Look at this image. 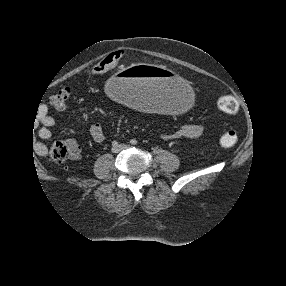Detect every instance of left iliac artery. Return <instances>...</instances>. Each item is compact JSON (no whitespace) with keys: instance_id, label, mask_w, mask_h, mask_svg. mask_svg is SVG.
<instances>
[{"instance_id":"44dca946","label":"left iliac artery","mask_w":286,"mask_h":286,"mask_svg":"<svg viewBox=\"0 0 286 286\" xmlns=\"http://www.w3.org/2000/svg\"><path fill=\"white\" fill-rule=\"evenodd\" d=\"M130 143H131L132 145H136V144L138 143V141H137L136 139H132V140L130 141Z\"/></svg>"}]
</instances>
